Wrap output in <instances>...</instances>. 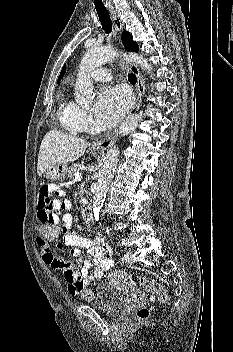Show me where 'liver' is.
I'll return each mask as SVG.
<instances>
[{
  "mask_svg": "<svg viewBox=\"0 0 233 352\" xmlns=\"http://www.w3.org/2000/svg\"><path fill=\"white\" fill-rule=\"evenodd\" d=\"M88 142L51 130L44 136L38 155L37 173L41 176L51 165L78 160L85 152Z\"/></svg>",
  "mask_w": 233,
  "mask_h": 352,
  "instance_id": "6515ba94",
  "label": "liver"
}]
</instances>
